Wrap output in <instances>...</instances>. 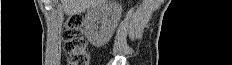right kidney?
I'll list each match as a JSON object with an SVG mask.
<instances>
[{
  "label": "right kidney",
  "instance_id": "obj_1",
  "mask_svg": "<svg viewBox=\"0 0 232 65\" xmlns=\"http://www.w3.org/2000/svg\"><path fill=\"white\" fill-rule=\"evenodd\" d=\"M122 14V6L114 0H102L90 8L84 20V34L95 47L104 46L112 37Z\"/></svg>",
  "mask_w": 232,
  "mask_h": 65
}]
</instances>
